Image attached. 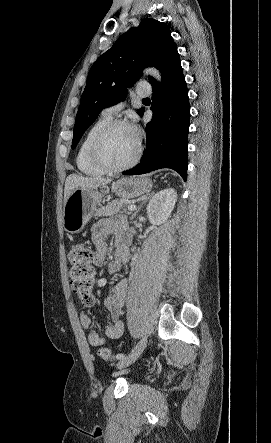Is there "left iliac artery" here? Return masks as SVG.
<instances>
[{"mask_svg":"<svg viewBox=\"0 0 271 443\" xmlns=\"http://www.w3.org/2000/svg\"><path fill=\"white\" fill-rule=\"evenodd\" d=\"M126 357L127 356L125 354H123V353H119V354L116 355V359H118V360L125 359Z\"/></svg>","mask_w":271,"mask_h":443,"instance_id":"44dca946","label":"left iliac artery"}]
</instances>
